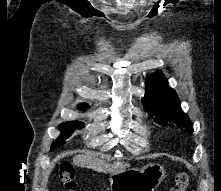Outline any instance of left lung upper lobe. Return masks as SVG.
<instances>
[{"label":"left lung upper lobe","mask_w":221,"mask_h":191,"mask_svg":"<svg viewBox=\"0 0 221 191\" xmlns=\"http://www.w3.org/2000/svg\"><path fill=\"white\" fill-rule=\"evenodd\" d=\"M142 103L158 119L177 122L187 130L193 131L192 122L183 113L176 92L168 86L167 79L161 71H156L147 78Z\"/></svg>","instance_id":"1"}]
</instances>
